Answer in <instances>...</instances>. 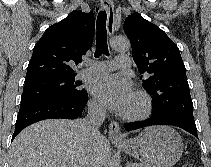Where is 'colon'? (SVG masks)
Masks as SVG:
<instances>
[{"label": "colon", "mask_w": 211, "mask_h": 167, "mask_svg": "<svg viewBox=\"0 0 211 167\" xmlns=\"http://www.w3.org/2000/svg\"><path fill=\"white\" fill-rule=\"evenodd\" d=\"M183 167H193V166L190 163H186Z\"/></svg>", "instance_id": "5ec220e1"}]
</instances>
